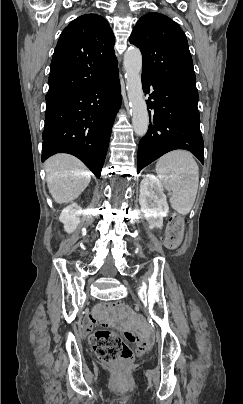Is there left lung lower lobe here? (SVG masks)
I'll return each instance as SVG.
<instances>
[{
	"instance_id": "1",
	"label": "left lung lower lobe",
	"mask_w": 243,
	"mask_h": 404,
	"mask_svg": "<svg viewBox=\"0 0 243 404\" xmlns=\"http://www.w3.org/2000/svg\"><path fill=\"white\" fill-rule=\"evenodd\" d=\"M142 86L145 94L150 93L146 103L148 108L154 109V114L149 112V129L139 143L138 173L152 161L175 149L192 152L203 164L204 144L197 108V88L143 75Z\"/></svg>"
}]
</instances>
